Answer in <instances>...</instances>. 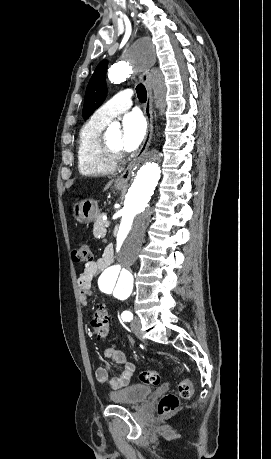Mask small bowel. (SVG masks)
I'll use <instances>...</instances> for the list:
<instances>
[{
    "mask_svg": "<svg viewBox=\"0 0 271 459\" xmlns=\"http://www.w3.org/2000/svg\"><path fill=\"white\" fill-rule=\"evenodd\" d=\"M111 262L110 256L105 252L103 256L95 261L87 262L78 278L79 299L82 305H87L90 297L91 284ZM105 357L118 366L117 373L110 375L104 367L96 369V380L101 384H107L112 389H119L127 386L134 373V365L127 360L126 355L115 345H110L105 350Z\"/></svg>",
    "mask_w": 271,
    "mask_h": 459,
    "instance_id": "1",
    "label": "small bowel"
}]
</instances>
